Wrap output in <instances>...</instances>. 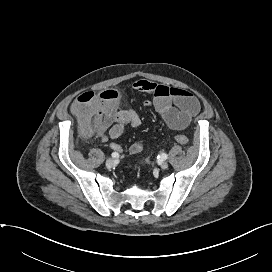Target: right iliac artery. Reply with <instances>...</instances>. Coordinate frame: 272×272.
<instances>
[{"instance_id": "1", "label": "right iliac artery", "mask_w": 272, "mask_h": 272, "mask_svg": "<svg viewBox=\"0 0 272 272\" xmlns=\"http://www.w3.org/2000/svg\"><path fill=\"white\" fill-rule=\"evenodd\" d=\"M111 156H112L113 158H115V159H118V158H119V154H118L117 152H113V153L111 154Z\"/></svg>"}]
</instances>
